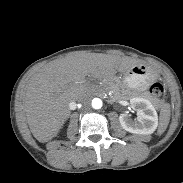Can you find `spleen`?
I'll return each mask as SVG.
<instances>
[{
    "label": "spleen",
    "mask_w": 183,
    "mask_h": 183,
    "mask_svg": "<svg viewBox=\"0 0 183 183\" xmlns=\"http://www.w3.org/2000/svg\"><path fill=\"white\" fill-rule=\"evenodd\" d=\"M170 120V106L169 104L163 105L160 111V123H159V128H158V135H162Z\"/></svg>",
    "instance_id": "obj_1"
}]
</instances>
